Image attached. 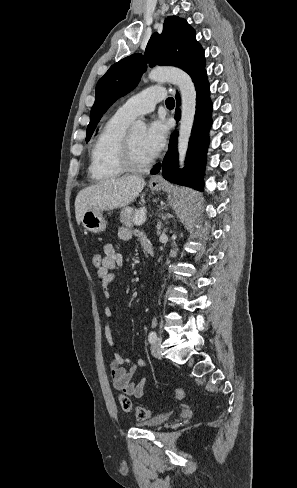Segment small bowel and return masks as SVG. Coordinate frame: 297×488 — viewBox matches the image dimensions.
<instances>
[{"label": "small bowel", "instance_id": "1", "mask_svg": "<svg viewBox=\"0 0 297 488\" xmlns=\"http://www.w3.org/2000/svg\"><path fill=\"white\" fill-rule=\"evenodd\" d=\"M144 246L151 244L146 235L141 232H137ZM133 235V232L129 228L121 227L118 230L119 241H128ZM104 256L102 257V264L97 269V278L99 285L104 294V314L110 319L113 315L112 309L109 304L110 300V285L115 279L113 271L123 265V255L116 247L110 243L103 246ZM105 336L108 344L111 347L115 346L111 328L106 326ZM146 366L144 359H139L136 364H133L131 360L119 353H113L110 367L112 386L117 391H120L128 396L135 398H141L144 394L145 379L140 378L135 380L134 376L136 371Z\"/></svg>", "mask_w": 297, "mask_h": 488}]
</instances>
